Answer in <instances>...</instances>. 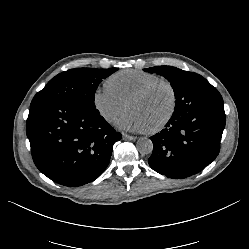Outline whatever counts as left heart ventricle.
I'll return each mask as SVG.
<instances>
[{"mask_svg":"<svg viewBox=\"0 0 249 249\" xmlns=\"http://www.w3.org/2000/svg\"><path fill=\"white\" fill-rule=\"evenodd\" d=\"M171 108V95L165 86H159L148 95L128 104L129 111H135L144 120L148 129L157 126Z\"/></svg>","mask_w":249,"mask_h":249,"instance_id":"1","label":"left heart ventricle"}]
</instances>
